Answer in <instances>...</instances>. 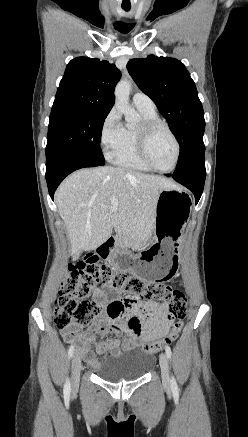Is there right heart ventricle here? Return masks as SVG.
<instances>
[{
	"label": "right heart ventricle",
	"instance_id": "1",
	"mask_svg": "<svg viewBox=\"0 0 248 437\" xmlns=\"http://www.w3.org/2000/svg\"><path fill=\"white\" fill-rule=\"evenodd\" d=\"M138 111L142 116V122L158 119L156 111H147L143 109H138ZM112 159L115 164L130 170L142 172L150 170L144 165L138 154L137 127L130 125L124 127L122 143Z\"/></svg>",
	"mask_w": 248,
	"mask_h": 437
}]
</instances>
